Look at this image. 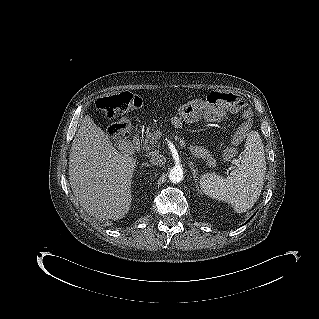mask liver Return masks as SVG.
Masks as SVG:
<instances>
[{"mask_svg": "<svg viewBox=\"0 0 319 319\" xmlns=\"http://www.w3.org/2000/svg\"><path fill=\"white\" fill-rule=\"evenodd\" d=\"M136 159L119 152L86 115L73 139L69 181L82 208L96 219H122L131 207Z\"/></svg>", "mask_w": 319, "mask_h": 319, "instance_id": "liver-1", "label": "liver"}]
</instances>
